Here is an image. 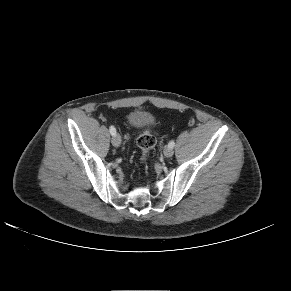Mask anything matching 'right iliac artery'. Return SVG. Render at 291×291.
<instances>
[{
  "label": "right iliac artery",
  "instance_id": "obj_1",
  "mask_svg": "<svg viewBox=\"0 0 291 291\" xmlns=\"http://www.w3.org/2000/svg\"><path fill=\"white\" fill-rule=\"evenodd\" d=\"M109 130H110L111 135L114 136L116 134V129L114 126H110Z\"/></svg>",
  "mask_w": 291,
  "mask_h": 291
}]
</instances>
